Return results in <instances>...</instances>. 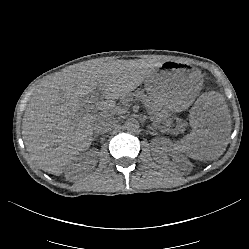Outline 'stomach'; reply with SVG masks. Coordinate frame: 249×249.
Listing matches in <instances>:
<instances>
[{
    "instance_id": "obj_1",
    "label": "stomach",
    "mask_w": 249,
    "mask_h": 249,
    "mask_svg": "<svg viewBox=\"0 0 249 249\" xmlns=\"http://www.w3.org/2000/svg\"><path fill=\"white\" fill-rule=\"evenodd\" d=\"M203 76L199 69H188L176 61H166L150 78L145 90L157 101L161 112L168 117H180L190 108L201 90ZM151 98V99H152Z\"/></svg>"
}]
</instances>
